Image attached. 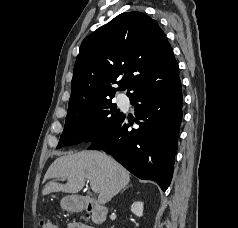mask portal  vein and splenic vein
<instances>
[{
  "label": "portal vein and splenic vein",
  "mask_w": 238,
  "mask_h": 228,
  "mask_svg": "<svg viewBox=\"0 0 238 228\" xmlns=\"http://www.w3.org/2000/svg\"><path fill=\"white\" fill-rule=\"evenodd\" d=\"M92 190L95 192V193H98L97 189L95 187H92Z\"/></svg>",
  "instance_id": "portal-vein-and-splenic-vein-1"
}]
</instances>
